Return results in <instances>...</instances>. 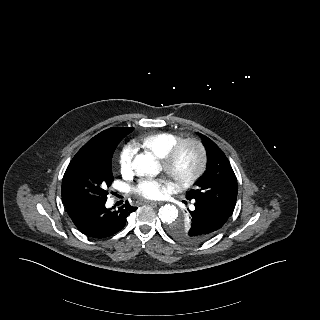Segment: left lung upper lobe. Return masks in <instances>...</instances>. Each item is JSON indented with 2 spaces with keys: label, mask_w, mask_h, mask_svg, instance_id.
I'll return each instance as SVG.
<instances>
[{
  "label": "left lung upper lobe",
  "mask_w": 320,
  "mask_h": 320,
  "mask_svg": "<svg viewBox=\"0 0 320 320\" xmlns=\"http://www.w3.org/2000/svg\"><path fill=\"white\" fill-rule=\"evenodd\" d=\"M207 153V170L196 183V188L187 192L186 199L200 201L230 217L237 199V179L223 151L208 137L199 134ZM191 215L173 221L169 233L184 243L201 242L192 233Z\"/></svg>",
  "instance_id": "obj_1"
}]
</instances>
